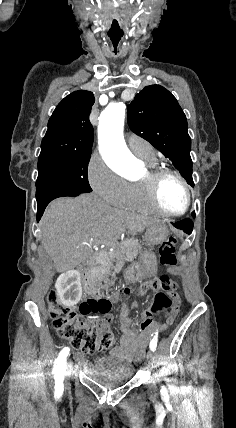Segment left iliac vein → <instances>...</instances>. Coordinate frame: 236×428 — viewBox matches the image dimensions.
Instances as JSON below:
<instances>
[{
	"label": "left iliac vein",
	"mask_w": 236,
	"mask_h": 428,
	"mask_svg": "<svg viewBox=\"0 0 236 428\" xmlns=\"http://www.w3.org/2000/svg\"><path fill=\"white\" fill-rule=\"evenodd\" d=\"M156 352H151V354L147 357H145L144 362L147 364V370L153 369L155 360H156Z\"/></svg>",
	"instance_id": "1"
}]
</instances>
